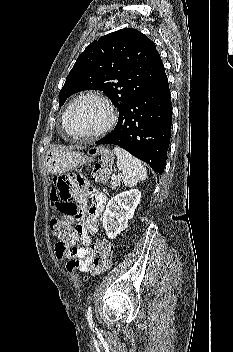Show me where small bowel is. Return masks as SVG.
<instances>
[{"instance_id": "c3829d8e", "label": "small bowel", "mask_w": 233, "mask_h": 352, "mask_svg": "<svg viewBox=\"0 0 233 352\" xmlns=\"http://www.w3.org/2000/svg\"><path fill=\"white\" fill-rule=\"evenodd\" d=\"M106 199L105 194L95 190L83 176L70 174L54 179L50 193L51 206L61 218H70L75 223L66 246L58 241L55 244L56 256L58 259L67 260L66 268L69 272L86 270L90 265L94 257L90 247V235H95L98 230V220ZM71 200H74L79 208H76L72 216H68L61 208L72 204ZM79 241L82 247L75 246Z\"/></svg>"}]
</instances>
